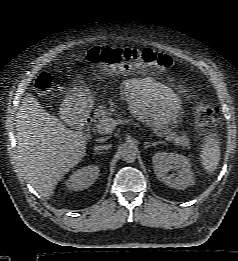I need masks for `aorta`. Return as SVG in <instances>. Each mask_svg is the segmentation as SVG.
Here are the masks:
<instances>
[{
  "mask_svg": "<svg viewBox=\"0 0 238 261\" xmlns=\"http://www.w3.org/2000/svg\"><path fill=\"white\" fill-rule=\"evenodd\" d=\"M121 156H122L123 161H125L127 163H132L137 158V150H136V148H134L132 146H125L121 150Z\"/></svg>",
  "mask_w": 238,
  "mask_h": 261,
  "instance_id": "762f6f07",
  "label": "aorta"
}]
</instances>
